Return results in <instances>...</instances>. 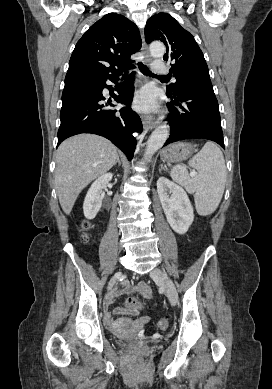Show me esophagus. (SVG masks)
Wrapping results in <instances>:
<instances>
[{
  "label": "esophagus",
  "instance_id": "esophagus-1",
  "mask_svg": "<svg viewBox=\"0 0 272 389\" xmlns=\"http://www.w3.org/2000/svg\"><path fill=\"white\" fill-rule=\"evenodd\" d=\"M141 50H142L144 62L145 63H149L151 61V58H150V55H149L148 46H147L144 38L142 40V48H141ZM158 123H159V120H155V119L150 118V117H144L143 118V125L146 128L153 129Z\"/></svg>",
  "mask_w": 272,
  "mask_h": 389
}]
</instances>
